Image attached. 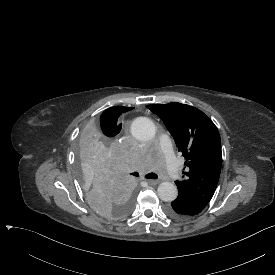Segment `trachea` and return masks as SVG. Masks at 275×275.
Wrapping results in <instances>:
<instances>
[{"label": "trachea", "instance_id": "obj_1", "mask_svg": "<svg viewBox=\"0 0 275 275\" xmlns=\"http://www.w3.org/2000/svg\"><path fill=\"white\" fill-rule=\"evenodd\" d=\"M132 175L138 177V176H139V173H138V172H134V173H132ZM145 178H146V179H157L158 176H157V174H155V173H149V174L145 175Z\"/></svg>", "mask_w": 275, "mask_h": 275}]
</instances>
